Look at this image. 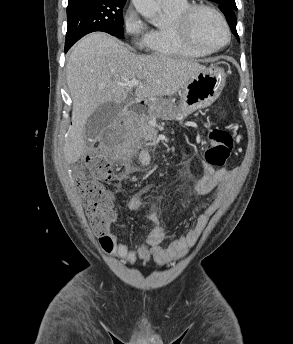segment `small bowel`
I'll use <instances>...</instances> for the list:
<instances>
[{"mask_svg":"<svg viewBox=\"0 0 293 344\" xmlns=\"http://www.w3.org/2000/svg\"><path fill=\"white\" fill-rule=\"evenodd\" d=\"M148 159L146 154L142 155ZM203 172L195 189L199 195H208L214 189L221 186L218 195L196 217L195 224L183 235L167 238L161 226V220L156 208L145 207L137 196L128 199L127 206L133 210L144 209L148 218L154 223V227L148 231L145 239L136 247H129L125 242L119 241L111 232L114 222L107 225L100 238V245L104 252L132 264L136 259L144 262L151 258L160 266L167 265L185 256L189 249L195 245L208 220L222 204L235 179L236 172L227 169H215L207 163L202 164Z\"/></svg>","mask_w":293,"mask_h":344,"instance_id":"small-bowel-1","label":"small bowel"}]
</instances>
